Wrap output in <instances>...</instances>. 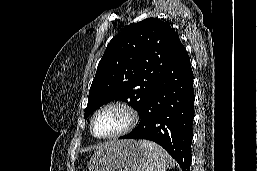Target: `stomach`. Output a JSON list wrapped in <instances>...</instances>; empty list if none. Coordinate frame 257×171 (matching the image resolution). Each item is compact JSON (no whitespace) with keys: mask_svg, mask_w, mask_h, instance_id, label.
<instances>
[{"mask_svg":"<svg viewBox=\"0 0 257 171\" xmlns=\"http://www.w3.org/2000/svg\"><path fill=\"white\" fill-rule=\"evenodd\" d=\"M145 161L144 149L135 140H124L96 151L89 171H142Z\"/></svg>","mask_w":257,"mask_h":171,"instance_id":"stomach-1","label":"stomach"}]
</instances>
